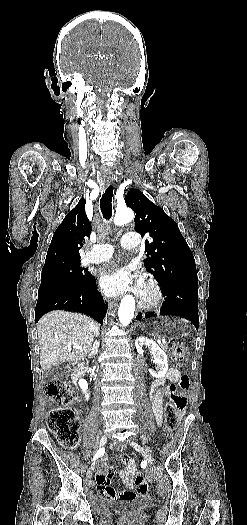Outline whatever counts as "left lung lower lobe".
<instances>
[{
  "label": "left lung lower lobe",
  "instance_id": "1",
  "mask_svg": "<svg viewBox=\"0 0 247 525\" xmlns=\"http://www.w3.org/2000/svg\"><path fill=\"white\" fill-rule=\"evenodd\" d=\"M165 297L161 315L179 316L189 319L195 327H199L198 316V287L181 285V286H160ZM155 313H146L145 318L155 316ZM142 315H138L140 319Z\"/></svg>",
  "mask_w": 247,
  "mask_h": 525
}]
</instances>
